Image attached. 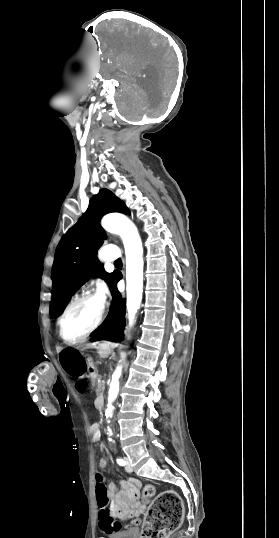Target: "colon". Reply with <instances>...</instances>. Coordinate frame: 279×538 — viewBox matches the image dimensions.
I'll return each mask as SVG.
<instances>
[{
	"label": "colon",
	"mask_w": 279,
	"mask_h": 538,
	"mask_svg": "<svg viewBox=\"0 0 279 538\" xmlns=\"http://www.w3.org/2000/svg\"><path fill=\"white\" fill-rule=\"evenodd\" d=\"M95 493L99 515L111 517L114 509L101 473L96 474ZM143 494L146 500H151V506L143 523L142 538H168L182 522V499L173 490H166L155 496V488L152 485H147Z\"/></svg>",
	"instance_id": "5ec220e1"
}]
</instances>
